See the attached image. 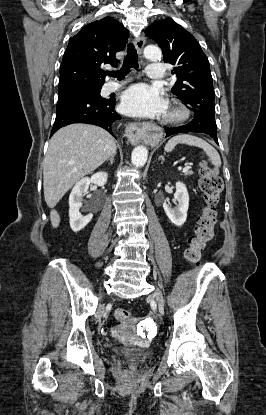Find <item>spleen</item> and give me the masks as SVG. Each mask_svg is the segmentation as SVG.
<instances>
[{"label": "spleen", "mask_w": 266, "mask_h": 415, "mask_svg": "<svg viewBox=\"0 0 266 415\" xmlns=\"http://www.w3.org/2000/svg\"><path fill=\"white\" fill-rule=\"evenodd\" d=\"M180 143L201 148L207 154L211 163L216 168L220 167L221 159L217 150L209 143H207L205 140L193 135L183 134L174 136L166 143L165 151L171 152L175 148V146Z\"/></svg>", "instance_id": "spleen-1"}]
</instances>
